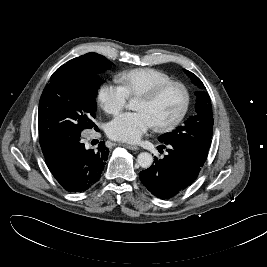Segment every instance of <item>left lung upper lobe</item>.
Segmentation results:
<instances>
[{
  "label": "left lung upper lobe",
  "instance_id": "1",
  "mask_svg": "<svg viewBox=\"0 0 267 267\" xmlns=\"http://www.w3.org/2000/svg\"><path fill=\"white\" fill-rule=\"evenodd\" d=\"M194 85L199 89L195 92L197 102L195 104V114L185 121L183 126H179L170 133H165L159 137V141L164 144H178L186 146L202 159L206 160L211 144L213 133V113L209 95L203 91L204 84L192 72L185 70Z\"/></svg>",
  "mask_w": 267,
  "mask_h": 267
}]
</instances>
